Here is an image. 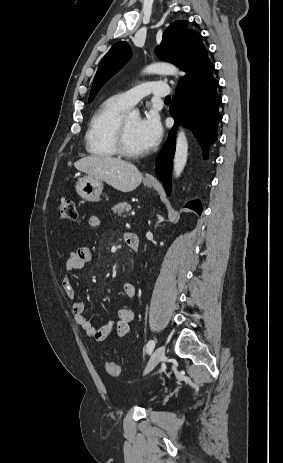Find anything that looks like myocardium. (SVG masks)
Here are the masks:
<instances>
[{
	"label": "myocardium",
	"mask_w": 283,
	"mask_h": 463,
	"mask_svg": "<svg viewBox=\"0 0 283 463\" xmlns=\"http://www.w3.org/2000/svg\"><path fill=\"white\" fill-rule=\"evenodd\" d=\"M126 117H122L118 123L115 136V144L117 152L130 159L141 158L146 155V152H134L129 149L126 142V126H125Z\"/></svg>",
	"instance_id": "obj_1"
}]
</instances>
